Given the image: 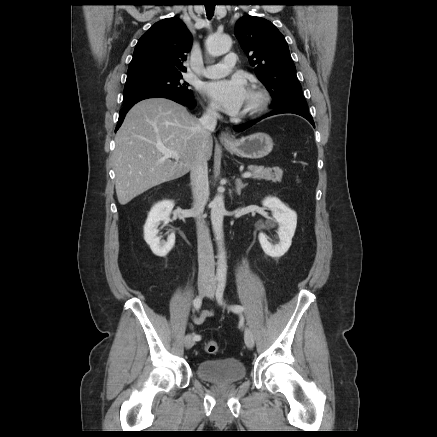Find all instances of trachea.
I'll list each match as a JSON object with an SVG mask.
<instances>
[{"label":"trachea","mask_w":437,"mask_h":437,"mask_svg":"<svg viewBox=\"0 0 437 437\" xmlns=\"http://www.w3.org/2000/svg\"><path fill=\"white\" fill-rule=\"evenodd\" d=\"M205 9L208 19H211L214 15L215 5L213 4L205 5Z\"/></svg>","instance_id":"1"}]
</instances>
